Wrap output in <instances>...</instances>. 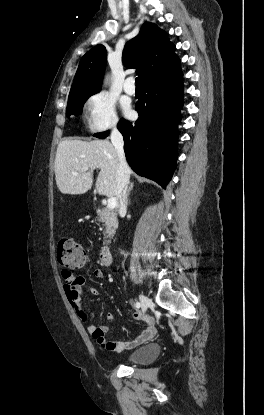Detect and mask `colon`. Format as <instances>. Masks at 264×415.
<instances>
[{
	"label": "colon",
	"instance_id": "1",
	"mask_svg": "<svg viewBox=\"0 0 264 415\" xmlns=\"http://www.w3.org/2000/svg\"><path fill=\"white\" fill-rule=\"evenodd\" d=\"M57 260L63 268L70 270L84 265L87 262V256L78 242L63 238L58 244Z\"/></svg>",
	"mask_w": 264,
	"mask_h": 415
}]
</instances>
